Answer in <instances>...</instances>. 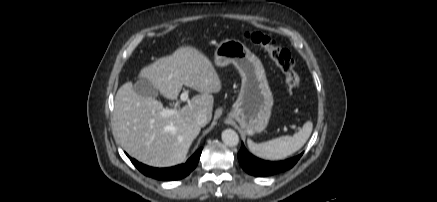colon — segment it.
Wrapping results in <instances>:
<instances>
[{"mask_svg": "<svg viewBox=\"0 0 437 202\" xmlns=\"http://www.w3.org/2000/svg\"><path fill=\"white\" fill-rule=\"evenodd\" d=\"M245 38L260 46L276 63L285 76V83L289 93L293 95L297 92L300 80L290 52L279 46L272 37L259 31L247 32L245 33Z\"/></svg>", "mask_w": 437, "mask_h": 202, "instance_id": "colon-1", "label": "colon"}]
</instances>
